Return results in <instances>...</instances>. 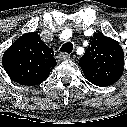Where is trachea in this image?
Here are the masks:
<instances>
[{
	"mask_svg": "<svg viewBox=\"0 0 127 127\" xmlns=\"http://www.w3.org/2000/svg\"><path fill=\"white\" fill-rule=\"evenodd\" d=\"M73 50V44L71 42H67L64 45H62V47L60 48V51L62 52H66L68 54H70Z\"/></svg>",
	"mask_w": 127,
	"mask_h": 127,
	"instance_id": "obj_1",
	"label": "trachea"
}]
</instances>
